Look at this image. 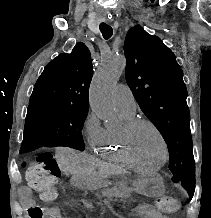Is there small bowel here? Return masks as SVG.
Segmentation results:
<instances>
[{"mask_svg":"<svg viewBox=\"0 0 211 218\" xmlns=\"http://www.w3.org/2000/svg\"><path fill=\"white\" fill-rule=\"evenodd\" d=\"M21 201L25 206H33V193L30 188L22 187L20 191ZM86 207H89V203H84ZM49 218H62L61 212L58 208L52 207L48 209ZM139 218H166L157 209L150 205H141L137 207L136 213Z\"/></svg>","mask_w":211,"mask_h":218,"instance_id":"1","label":"small bowel"}]
</instances>
